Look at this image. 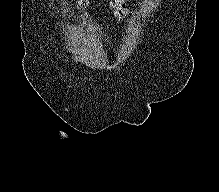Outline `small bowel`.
Listing matches in <instances>:
<instances>
[{
    "label": "small bowel",
    "mask_w": 219,
    "mask_h": 192,
    "mask_svg": "<svg viewBox=\"0 0 219 192\" xmlns=\"http://www.w3.org/2000/svg\"><path fill=\"white\" fill-rule=\"evenodd\" d=\"M127 0H110V8L117 18L122 19L127 15Z\"/></svg>",
    "instance_id": "obj_1"
}]
</instances>
